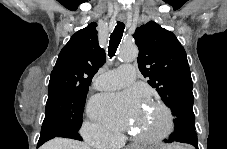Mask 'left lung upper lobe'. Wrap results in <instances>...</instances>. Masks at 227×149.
Segmentation results:
<instances>
[{
    "mask_svg": "<svg viewBox=\"0 0 227 149\" xmlns=\"http://www.w3.org/2000/svg\"><path fill=\"white\" fill-rule=\"evenodd\" d=\"M133 37L139 48V69L171 109L175 131L195 130L192 79L181 43L153 21L136 28Z\"/></svg>",
    "mask_w": 227,
    "mask_h": 149,
    "instance_id": "5c2ea615",
    "label": "left lung upper lobe"
}]
</instances>
